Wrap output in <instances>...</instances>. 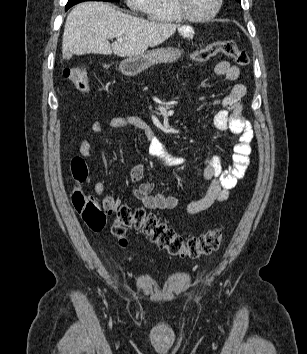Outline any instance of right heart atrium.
I'll list each match as a JSON object with an SVG mask.
<instances>
[{
  "label": "right heart atrium",
  "instance_id": "obj_1",
  "mask_svg": "<svg viewBox=\"0 0 307 354\" xmlns=\"http://www.w3.org/2000/svg\"><path fill=\"white\" fill-rule=\"evenodd\" d=\"M128 7L135 11H144L148 0H125Z\"/></svg>",
  "mask_w": 307,
  "mask_h": 354
}]
</instances>
